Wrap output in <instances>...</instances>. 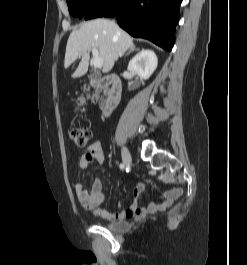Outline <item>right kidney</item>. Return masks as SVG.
Segmentation results:
<instances>
[{
  "label": "right kidney",
  "mask_w": 247,
  "mask_h": 265,
  "mask_svg": "<svg viewBox=\"0 0 247 265\" xmlns=\"http://www.w3.org/2000/svg\"><path fill=\"white\" fill-rule=\"evenodd\" d=\"M158 59L154 51L143 49L135 55L128 64V71L137 74L140 79L147 80L156 70Z\"/></svg>",
  "instance_id": "obj_1"
}]
</instances>
